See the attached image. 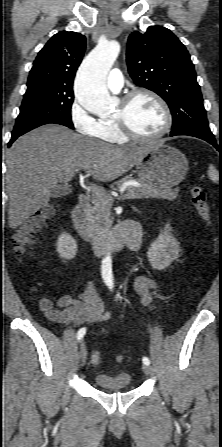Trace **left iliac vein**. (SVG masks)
Wrapping results in <instances>:
<instances>
[{
	"label": "left iliac vein",
	"instance_id": "4c4485c4",
	"mask_svg": "<svg viewBox=\"0 0 222 447\" xmlns=\"http://www.w3.org/2000/svg\"><path fill=\"white\" fill-rule=\"evenodd\" d=\"M142 370L147 376H152L154 374L153 369L150 365L143 364Z\"/></svg>",
	"mask_w": 222,
	"mask_h": 447
}]
</instances>
